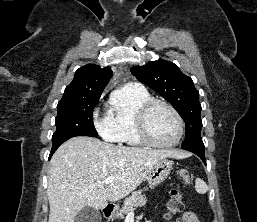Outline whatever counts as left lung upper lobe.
Masks as SVG:
<instances>
[{"mask_svg": "<svg viewBox=\"0 0 257 222\" xmlns=\"http://www.w3.org/2000/svg\"><path fill=\"white\" fill-rule=\"evenodd\" d=\"M131 73L165 98L183 118L186 136L182 148L204 151L199 92L194 87L192 79L184 75L173 62L163 59L143 66H134Z\"/></svg>", "mask_w": 257, "mask_h": 222, "instance_id": "5c2ea615", "label": "left lung upper lobe"}]
</instances>
